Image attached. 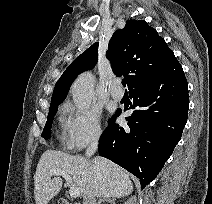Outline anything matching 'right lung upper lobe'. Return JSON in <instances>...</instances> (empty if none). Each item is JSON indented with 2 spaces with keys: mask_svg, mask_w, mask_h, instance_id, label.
Masks as SVG:
<instances>
[{
  "mask_svg": "<svg viewBox=\"0 0 212 204\" xmlns=\"http://www.w3.org/2000/svg\"><path fill=\"white\" fill-rule=\"evenodd\" d=\"M98 43L78 56L57 81L51 105L60 104L78 74L97 62ZM116 75L128 78L129 91L139 85L174 73L181 68L173 51L144 20H128L111 37L106 53Z\"/></svg>",
  "mask_w": 212,
  "mask_h": 204,
  "instance_id": "1",
  "label": "right lung upper lobe"
}]
</instances>
